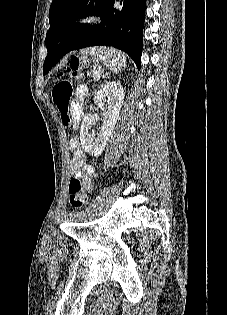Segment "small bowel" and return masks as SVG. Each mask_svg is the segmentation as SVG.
Returning a JSON list of instances; mask_svg holds the SVG:
<instances>
[{"label":"small bowel","instance_id":"c3829d8e","mask_svg":"<svg viewBox=\"0 0 227 315\" xmlns=\"http://www.w3.org/2000/svg\"><path fill=\"white\" fill-rule=\"evenodd\" d=\"M86 96V87L79 86L76 92V100L72 104L74 110L79 112V116L82 113L81 102L85 99ZM69 147L72 151V157L70 161V171L72 177H77L79 179L84 177L87 190H91L93 186L92 176L94 170L90 165L86 164L84 154L80 148L79 140L77 138H72L69 141Z\"/></svg>","mask_w":227,"mask_h":315}]
</instances>
